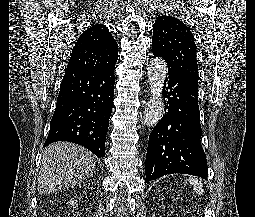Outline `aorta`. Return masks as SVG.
Here are the masks:
<instances>
[{
  "instance_id": "1",
  "label": "aorta",
  "mask_w": 255,
  "mask_h": 217,
  "mask_svg": "<svg viewBox=\"0 0 255 217\" xmlns=\"http://www.w3.org/2000/svg\"><path fill=\"white\" fill-rule=\"evenodd\" d=\"M147 74L151 95L143 118L147 126H155L163 116L162 89L167 74L166 62L161 58L153 59L149 63Z\"/></svg>"
}]
</instances>
